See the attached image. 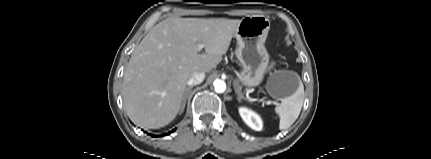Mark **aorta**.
Returning a JSON list of instances; mask_svg holds the SVG:
<instances>
[{
  "label": "aorta",
  "mask_w": 431,
  "mask_h": 159,
  "mask_svg": "<svg viewBox=\"0 0 431 159\" xmlns=\"http://www.w3.org/2000/svg\"><path fill=\"white\" fill-rule=\"evenodd\" d=\"M213 85L217 93H223L226 90V83L223 80L216 79Z\"/></svg>",
  "instance_id": "obj_1"
}]
</instances>
